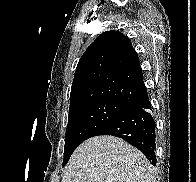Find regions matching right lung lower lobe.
<instances>
[{
    "instance_id": "98d812e1",
    "label": "right lung lower lobe",
    "mask_w": 196,
    "mask_h": 182,
    "mask_svg": "<svg viewBox=\"0 0 196 182\" xmlns=\"http://www.w3.org/2000/svg\"><path fill=\"white\" fill-rule=\"evenodd\" d=\"M155 122L147 90L132 107L100 128L94 136L112 135L124 139L139 149L156 165Z\"/></svg>"
}]
</instances>
